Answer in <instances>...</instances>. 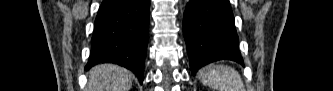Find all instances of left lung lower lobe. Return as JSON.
<instances>
[{
  "label": "left lung lower lobe",
  "mask_w": 333,
  "mask_h": 91,
  "mask_svg": "<svg viewBox=\"0 0 333 91\" xmlns=\"http://www.w3.org/2000/svg\"><path fill=\"white\" fill-rule=\"evenodd\" d=\"M192 74L218 60L243 63L229 0H192L183 17Z\"/></svg>",
  "instance_id": "1"
}]
</instances>
